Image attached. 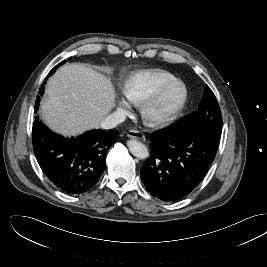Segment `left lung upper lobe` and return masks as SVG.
Here are the masks:
<instances>
[{
	"instance_id": "left-lung-upper-lobe-1",
	"label": "left lung upper lobe",
	"mask_w": 267,
	"mask_h": 267,
	"mask_svg": "<svg viewBox=\"0 0 267 267\" xmlns=\"http://www.w3.org/2000/svg\"><path fill=\"white\" fill-rule=\"evenodd\" d=\"M178 123L198 124L207 128L212 135L220 138L222 132L221 111L212 90L206 85L198 111L184 116Z\"/></svg>"
}]
</instances>
